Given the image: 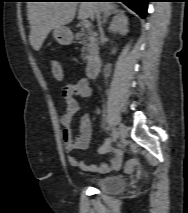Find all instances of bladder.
Segmentation results:
<instances>
[{
	"label": "bladder",
	"instance_id": "1",
	"mask_svg": "<svg viewBox=\"0 0 188 213\" xmlns=\"http://www.w3.org/2000/svg\"><path fill=\"white\" fill-rule=\"evenodd\" d=\"M91 182L96 189L110 195L118 194L126 187L125 180L119 176L96 177Z\"/></svg>",
	"mask_w": 188,
	"mask_h": 213
}]
</instances>
